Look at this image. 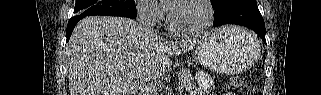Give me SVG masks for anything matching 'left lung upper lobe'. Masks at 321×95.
I'll list each match as a JSON object with an SVG mask.
<instances>
[{"instance_id":"left-lung-upper-lobe-1","label":"left lung upper lobe","mask_w":321,"mask_h":95,"mask_svg":"<svg viewBox=\"0 0 321 95\" xmlns=\"http://www.w3.org/2000/svg\"><path fill=\"white\" fill-rule=\"evenodd\" d=\"M222 2H223V0H211V4H212L213 8H216Z\"/></svg>"}]
</instances>
